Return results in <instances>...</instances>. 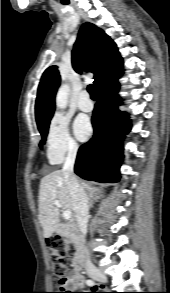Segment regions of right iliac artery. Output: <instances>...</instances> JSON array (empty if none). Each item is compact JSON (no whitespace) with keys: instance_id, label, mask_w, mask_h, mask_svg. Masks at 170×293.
Segmentation results:
<instances>
[{"instance_id":"right-iliac-artery-1","label":"right iliac artery","mask_w":170,"mask_h":293,"mask_svg":"<svg viewBox=\"0 0 170 293\" xmlns=\"http://www.w3.org/2000/svg\"><path fill=\"white\" fill-rule=\"evenodd\" d=\"M86 284H87L88 286H94L96 283H95L94 280H92V279H88V280H86Z\"/></svg>"}]
</instances>
